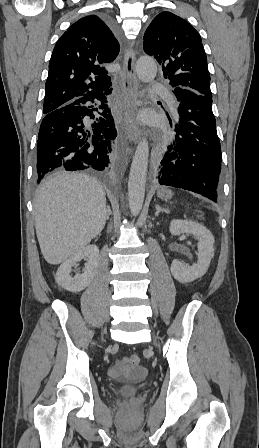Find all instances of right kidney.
Masks as SVG:
<instances>
[{"label": "right kidney", "instance_id": "obj_1", "mask_svg": "<svg viewBox=\"0 0 259 448\" xmlns=\"http://www.w3.org/2000/svg\"><path fill=\"white\" fill-rule=\"evenodd\" d=\"M99 250L97 246H85L82 250H79L77 254L70 256L66 262L61 264L57 270L55 280L58 286H62L64 290L68 292H82L89 284H91L96 268L98 266ZM83 258H87V264H85V270L83 274H77V276H70L72 266H75L76 262H80Z\"/></svg>", "mask_w": 259, "mask_h": 448}]
</instances>
